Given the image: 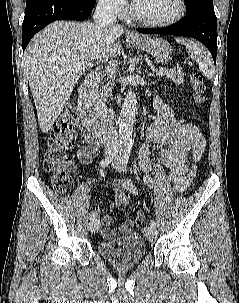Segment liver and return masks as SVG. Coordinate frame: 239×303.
Here are the masks:
<instances>
[{"instance_id": "6515ba94", "label": "liver", "mask_w": 239, "mask_h": 303, "mask_svg": "<svg viewBox=\"0 0 239 303\" xmlns=\"http://www.w3.org/2000/svg\"><path fill=\"white\" fill-rule=\"evenodd\" d=\"M124 33L120 25L56 21L37 33L24 52V73L35 102L39 127L48 132L78 79L93 63L116 57Z\"/></svg>"}]
</instances>
